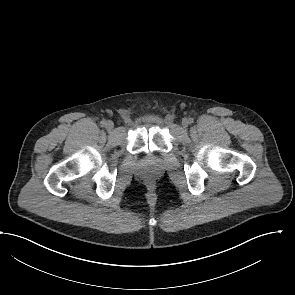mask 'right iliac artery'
<instances>
[{
    "label": "right iliac artery",
    "instance_id": "right-iliac-artery-1",
    "mask_svg": "<svg viewBox=\"0 0 295 295\" xmlns=\"http://www.w3.org/2000/svg\"><path fill=\"white\" fill-rule=\"evenodd\" d=\"M105 124H106V121H105V120H102V121H101V126L104 127Z\"/></svg>",
    "mask_w": 295,
    "mask_h": 295
}]
</instances>
